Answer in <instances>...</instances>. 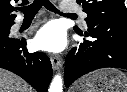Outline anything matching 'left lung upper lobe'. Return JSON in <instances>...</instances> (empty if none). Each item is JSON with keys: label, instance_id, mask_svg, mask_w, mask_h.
Instances as JSON below:
<instances>
[{"label": "left lung upper lobe", "instance_id": "obj_1", "mask_svg": "<svg viewBox=\"0 0 127 92\" xmlns=\"http://www.w3.org/2000/svg\"><path fill=\"white\" fill-rule=\"evenodd\" d=\"M87 13L88 28L99 24H117L127 26V9L124 0H77ZM76 32H82L77 26Z\"/></svg>", "mask_w": 127, "mask_h": 92}]
</instances>
